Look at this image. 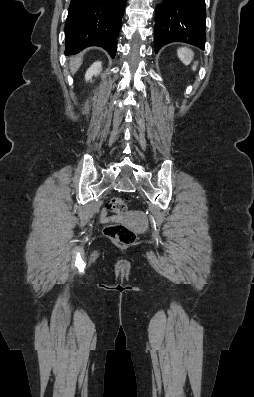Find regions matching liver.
Listing matches in <instances>:
<instances>
[{
    "instance_id": "1",
    "label": "liver",
    "mask_w": 254,
    "mask_h": 397,
    "mask_svg": "<svg viewBox=\"0 0 254 397\" xmlns=\"http://www.w3.org/2000/svg\"><path fill=\"white\" fill-rule=\"evenodd\" d=\"M81 64H82V55H78L75 58H73L70 62L71 73L72 74L76 73V71L79 69Z\"/></svg>"
}]
</instances>
